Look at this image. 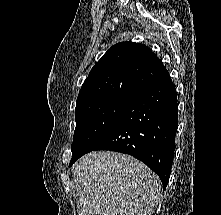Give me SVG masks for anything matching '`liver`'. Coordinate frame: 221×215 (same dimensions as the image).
Masks as SVG:
<instances>
[{"label": "liver", "mask_w": 221, "mask_h": 215, "mask_svg": "<svg viewBox=\"0 0 221 215\" xmlns=\"http://www.w3.org/2000/svg\"><path fill=\"white\" fill-rule=\"evenodd\" d=\"M73 176L80 215H152L163 189L143 162L117 152L84 155Z\"/></svg>", "instance_id": "obj_1"}]
</instances>
